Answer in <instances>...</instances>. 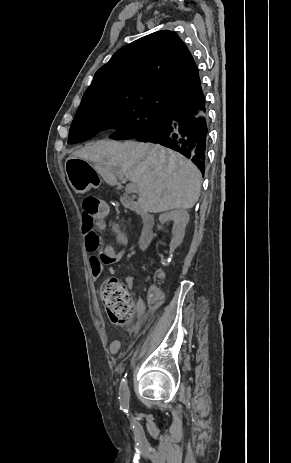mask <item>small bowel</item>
<instances>
[{"label": "small bowel", "mask_w": 291, "mask_h": 463, "mask_svg": "<svg viewBox=\"0 0 291 463\" xmlns=\"http://www.w3.org/2000/svg\"><path fill=\"white\" fill-rule=\"evenodd\" d=\"M106 216L107 212L104 217L98 218L96 229H83L84 249L93 254L89 260V271L94 280H98L101 277L104 267L115 265L124 256L131 252L130 246H128V238L126 234L121 230L118 224L108 221ZM108 229L112 230L116 235L117 241L125 246L123 250L117 251L113 246H103V233ZM125 284L127 287L132 288L134 284V277H127L125 279ZM155 290H157L155 287L151 288V291ZM136 316L138 323H141L145 316V306L142 300H139L137 303ZM120 347V342L114 341L110 346V352L112 354H118Z\"/></svg>", "instance_id": "obj_1"}]
</instances>
